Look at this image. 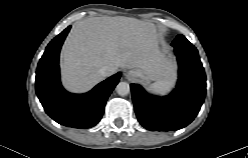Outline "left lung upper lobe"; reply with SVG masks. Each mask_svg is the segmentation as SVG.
<instances>
[{"label": "left lung upper lobe", "instance_id": "left-lung-upper-lobe-1", "mask_svg": "<svg viewBox=\"0 0 248 158\" xmlns=\"http://www.w3.org/2000/svg\"><path fill=\"white\" fill-rule=\"evenodd\" d=\"M177 41L181 42V41H187V39L183 36V35H178L176 38Z\"/></svg>", "mask_w": 248, "mask_h": 158}]
</instances>
